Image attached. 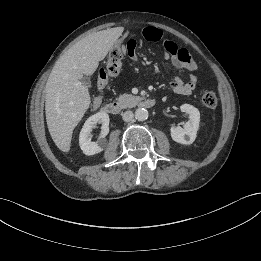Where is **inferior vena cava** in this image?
<instances>
[{
    "mask_svg": "<svg viewBox=\"0 0 261 261\" xmlns=\"http://www.w3.org/2000/svg\"><path fill=\"white\" fill-rule=\"evenodd\" d=\"M122 118L125 122H129V121H132L133 118H134V114L132 111L128 110V111H125L123 112L122 114Z\"/></svg>",
    "mask_w": 261,
    "mask_h": 261,
    "instance_id": "inferior-vena-cava-1",
    "label": "inferior vena cava"
}]
</instances>
